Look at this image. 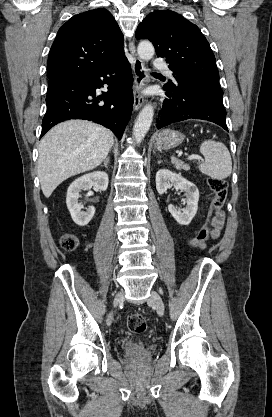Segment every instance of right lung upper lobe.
I'll return each instance as SVG.
<instances>
[{
  "label": "right lung upper lobe",
  "mask_w": 272,
  "mask_h": 417,
  "mask_svg": "<svg viewBox=\"0 0 272 417\" xmlns=\"http://www.w3.org/2000/svg\"><path fill=\"white\" fill-rule=\"evenodd\" d=\"M123 42V34L108 10L75 15L59 29L49 52V84L102 69L123 54Z\"/></svg>",
  "instance_id": "1"
}]
</instances>
